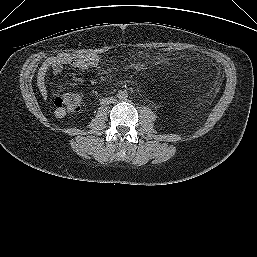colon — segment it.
I'll use <instances>...</instances> for the list:
<instances>
[{"mask_svg": "<svg viewBox=\"0 0 257 257\" xmlns=\"http://www.w3.org/2000/svg\"><path fill=\"white\" fill-rule=\"evenodd\" d=\"M162 53L170 55L175 52L173 47L167 46L162 48ZM81 98L74 93L58 95L53 99V105L56 111H68L71 113L77 112L80 108Z\"/></svg>", "mask_w": 257, "mask_h": 257, "instance_id": "obj_1", "label": "colon"}]
</instances>
